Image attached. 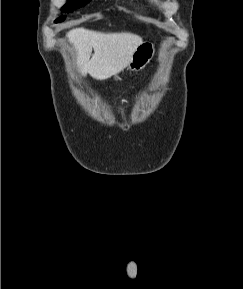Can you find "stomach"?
Listing matches in <instances>:
<instances>
[{
  "label": "stomach",
  "mask_w": 243,
  "mask_h": 289,
  "mask_svg": "<svg viewBox=\"0 0 243 289\" xmlns=\"http://www.w3.org/2000/svg\"><path fill=\"white\" fill-rule=\"evenodd\" d=\"M155 47L151 42H143L134 52L128 69L133 72L142 70L154 57Z\"/></svg>",
  "instance_id": "stomach-1"
}]
</instances>
